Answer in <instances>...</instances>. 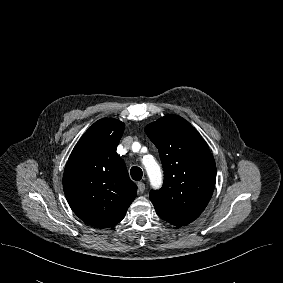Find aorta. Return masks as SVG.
<instances>
[{
  "label": "aorta",
  "instance_id": "762f6f07",
  "mask_svg": "<svg viewBox=\"0 0 283 283\" xmlns=\"http://www.w3.org/2000/svg\"><path fill=\"white\" fill-rule=\"evenodd\" d=\"M143 163L146 167L151 184L153 186L160 185L162 180V173L158 163L152 156H146L143 160Z\"/></svg>",
  "mask_w": 283,
  "mask_h": 283
}]
</instances>
